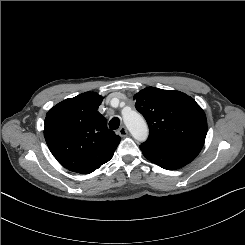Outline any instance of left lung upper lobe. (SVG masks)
Segmentation results:
<instances>
[{"label": "left lung upper lobe", "instance_id": "5c2ea615", "mask_svg": "<svg viewBox=\"0 0 245 245\" xmlns=\"http://www.w3.org/2000/svg\"><path fill=\"white\" fill-rule=\"evenodd\" d=\"M134 99L136 109L148 123V141L195 157L199 154L207 134V120L193 98L180 91L147 87Z\"/></svg>", "mask_w": 245, "mask_h": 245}]
</instances>
